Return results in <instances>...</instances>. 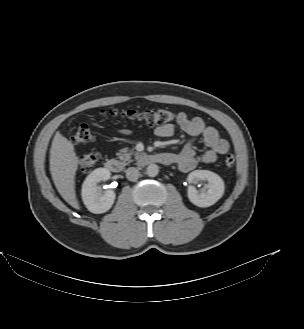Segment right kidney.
<instances>
[{
    "label": "right kidney",
    "mask_w": 304,
    "mask_h": 329,
    "mask_svg": "<svg viewBox=\"0 0 304 329\" xmlns=\"http://www.w3.org/2000/svg\"><path fill=\"white\" fill-rule=\"evenodd\" d=\"M110 171L106 168H97L92 171L82 185V200L86 208L94 213L100 214L108 211L115 200L116 194L113 190L101 192L99 182H105L110 178Z\"/></svg>",
    "instance_id": "right-kidney-1"
}]
</instances>
